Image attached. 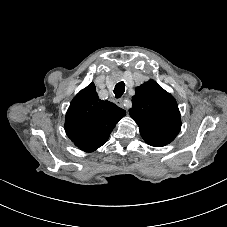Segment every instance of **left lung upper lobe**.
<instances>
[{
    "instance_id": "obj_1",
    "label": "left lung upper lobe",
    "mask_w": 227,
    "mask_h": 227,
    "mask_svg": "<svg viewBox=\"0 0 227 227\" xmlns=\"http://www.w3.org/2000/svg\"><path fill=\"white\" fill-rule=\"evenodd\" d=\"M130 116L140 133L166 144L172 142L181 129L178 105L174 97L150 79L135 89Z\"/></svg>"
}]
</instances>
